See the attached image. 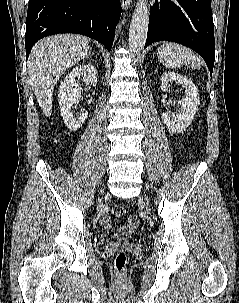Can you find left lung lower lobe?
Here are the masks:
<instances>
[{
    "instance_id": "0a47b994",
    "label": "left lung lower lobe",
    "mask_w": 239,
    "mask_h": 303,
    "mask_svg": "<svg viewBox=\"0 0 239 303\" xmlns=\"http://www.w3.org/2000/svg\"><path fill=\"white\" fill-rule=\"evenodd\" d=\"M183 44L203 57L212 75L215 60L210 0H155L145 48L157 41Z\"/></svg>"
}]
</instances>
